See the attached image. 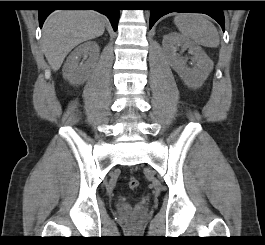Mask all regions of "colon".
<instances>
[{"label": "colon", "instance_id": "obj_1", "mask_svg": "<svg viewBox=\"0 0 265 245\" xmlns=\"http://www.w3.org/2000/svg\"><path fill=\"white\" fill-rule=\"evenodd\" d=\"M128 185H129L130 189L134 190V189H136L138 187L139 181H138V179L136 177H131L130 180H129Z\"/></svg>", "mask_w": 265, "mask_h": 245}]
</instances>
